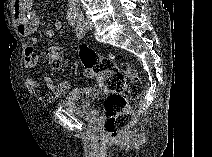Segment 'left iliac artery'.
Returning <instances> with one entry per match:
<instances>
[{
    "label": "left iliac artery",
    "instance_id": "left-iliac-artery-1",
    "mask_svg": "<svg viewBox=\"0 0 212 157\" xmlns=\"http://www.w3.org/2000/svg\"><path fill=\"white\" fill-rule=\"evenodd\" d=\"M82 21H83V15L79 14L77 16V24H76V28H75V32L78 38H83L85 35V29L82 26Z\"/></svg>",
    "mask_w": 212,
    "mask_h": 157
}]
</instances>
